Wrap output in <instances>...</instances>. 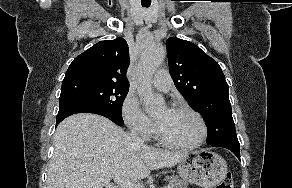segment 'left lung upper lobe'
<instances>
[{
    "label": "left lung upper lobe",
    "mask_w": 292,
    "mask_h": 188,
    "mask_svg": "<svg viewBox=\"0 0 292 188\" xmlns=\"http://www.w3.org/2000/svg\"><path fill=\"white\" fill-rule=\"evenodd\" d=\"M167 52L176 88L206 121L207 144L236 134L229 87L219 64L197 45L177 37L167 40Z\"/></svg>",
    "instance_id": "1"
}]
</instances>
